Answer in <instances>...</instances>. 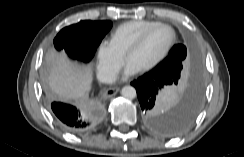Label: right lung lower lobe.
Here are the masks:
<instances>
[{
	"instance_id": "obj_1",
	"label": "right lung lower lobe",
	"mask_w": 244,
	"mask_h": 157,
	"mask_svg": "<svg viewBox=\"0 0 244 157\" xmlns=\"http://www.w3.org/2000/svg\"><path fill=\"white\" fill-rule=\"evenodd\" d=\"M51 109L60 125L71 133L82 134L93 127V115L83 109L61 102H52Z\"/></svg>"
}]
</instances>
